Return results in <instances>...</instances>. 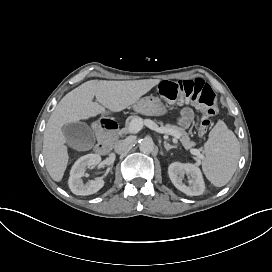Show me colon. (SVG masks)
I'll use <instances>...</instances> for the list:
<instances>
[{
	"label": "colon",
	"instance_id": "5ec220e1",
	"mask_svg": "<svg viewBox=\"0 0 272 272\" xmlns=\"http://www.w3.org/2000/svg\"><path fill=\"white\" fill-rule=\"evenodd\" d=\"M159 97L169 102L192 103L203 106L199 132L205 134L211 119L217 115V97L212 87L203 79L164 81L159 86Z\"/></svg>",
	"mask_w": 272,
	"mask_h": 272
}]
</instances>
